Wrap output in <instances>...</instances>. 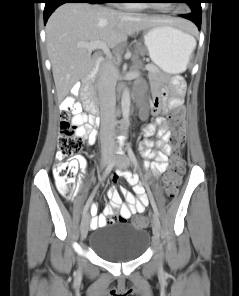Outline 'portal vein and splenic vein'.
Masks as SVG:
<instances>
[{
    "instance_id": "portal-vein-and-splenic-vein-1",
    "label": "portal vein and splenic vein",
    "mask_w": 239,
    "mask_h": 296,
    "mask_svg": "<svg viewBox=\"0 0 239 296\" xmlns=\"http://www.w3.org/2000/svg\"><path fill=\"white\" fill-rule=\"evenodd\" d=\"M78 46L87 48L88 50L101 49L108 57L112 58L109 47L103 41L81 42ZM147 70H151L150 66H146Z\"/></svg>"
}]
</instances>
